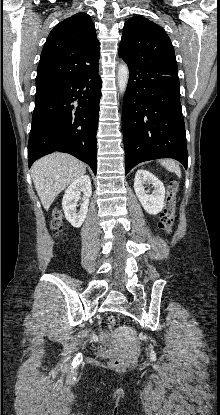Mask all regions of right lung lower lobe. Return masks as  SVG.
I'll list each match as a JSON object with an SVG mask.
<instances>
[{
	"instance_id": "1",
	"label": "right lung lower lobe",
	"mask_w": 220,
	"mask_h": 415,
	"mask_svg": "<svg viewBox=\"0 0 220 415\" xmlns=\"http://www.w3.org/2000/svg\"><path fill=\"white\" fill-rule=\"evenodd\" d=\"M102 80L98 68L35 97L28 143L29 168L54 151L69 153L97 171V128Z\"/></svg>"
}]
</instances>
